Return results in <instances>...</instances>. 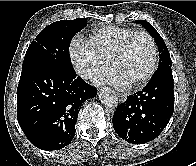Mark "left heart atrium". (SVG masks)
<instances>
[{
	"mask_svg": "<svg viewBox=\"0 0 196 166\" xmlns=\"http://www.w3.org/2000/svg\"><path fill=\"white\" fill-rule=\"evenodd\" d=\"M94 81L99 84H112L117 88H125L130 85V82L114 68L98 73L95 75Z\"/></svg>",
	"mask_w": 196,
	"mask_h": 166,
	"instance_id": "39dd6f15",
	"label": "left heart atrium"
}]
</instances>
